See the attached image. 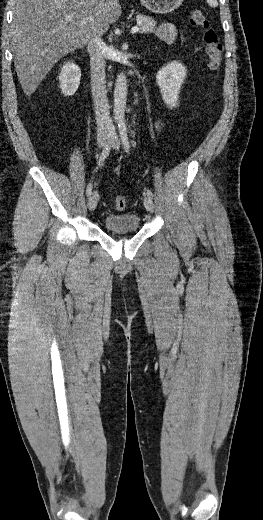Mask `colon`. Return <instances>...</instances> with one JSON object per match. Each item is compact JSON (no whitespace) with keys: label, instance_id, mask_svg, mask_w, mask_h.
<instances>
[{"label":"colon","instance_id":"colon-1","mask_svg":"<svg viewBox=\"0 0 263 520\" xmlns=\"http://www.w3.org/2000/svg\"><path fill=\"white\" fill-rule=\"evenodd\" d=\"M189 22L192 26L203 30V42L208 68L212 72L218 71L222 60V45L217 33L211 27L208 18L199 9H194L190 13ZM114 205L117 210H123L126 207V199L123 196H117L114 200Z\"/></svg>","mask_w":263,"mask_h":520}]
</instances>
